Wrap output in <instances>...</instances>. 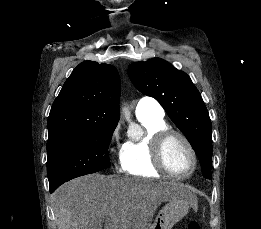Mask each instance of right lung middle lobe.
Returning <instances> with one entry per match:
<instances>
[{
    "label": "right lung middle lobe",
    "instance_id": "right-lung-middle-lobe-1",
    "mask_svg": "<svg viewBox=\"0 0 261 229\" xmlns=\"http://www.w3.org/2000/svg\"><path fill=\"white\" fill-rule=\"evenodd\" d=\"M116 125L94 126L72 138L47 146L50 189L62 183L108 168V146Z\"/></svg>",
    "mask_w": 261,
    "mask_h": 229
}]
</instances>
